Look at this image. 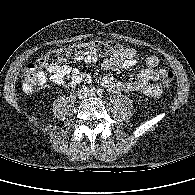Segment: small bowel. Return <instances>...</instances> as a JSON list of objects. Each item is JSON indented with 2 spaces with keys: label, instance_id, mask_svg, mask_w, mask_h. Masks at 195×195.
<instances>
[{
  "label": "small bowel",
  "instance_id": "small-bowel-1",
  "mask_svg": "<svg viewBox=\"0 0 195 195\" xmlns=\"http://www.w3.org/2000/svg\"><path fill=\"white\" fill-rule=\"evenodd\" d=\"M138 52L134 48H126L120 53L111 54L102 62V68L107 71L130 69L137 65ZM78 62L88 65L96 64V55H80L75 58ZM159 59L155 55L145 57V67L135 76L125 81H116L112 76H105L103 84L113 93L138 92L148 97H157L161 93L159 85L155 84L165 73L164 69H157ZM51 81L60 87L72 89L81 83H90V74L69 65H55L48 68Z\"/></svg>",
  "mask_w": 195,
  "mask_h": 195
}]
</instances>
